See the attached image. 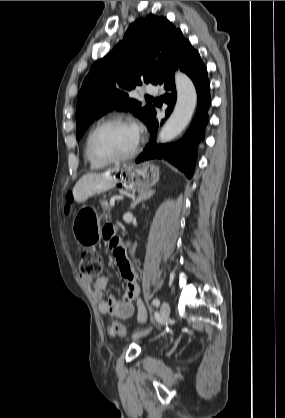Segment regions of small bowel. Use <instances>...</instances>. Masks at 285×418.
I'll return each instance as SVG.
<instances>
[{
	"mask_svg": "<svg viewBox=\"0 0 285 418\" xmlns=\"http://www.w3.org/2000/svg\"><path fill=\"white\" fill-rule=\"evenodd\" d=\"M104 241L112 253H114V251L119 246L127 247L131 245V243L128 241H122L117 235L116 230L113 228L106 230ZM116 260L119 273L126 282L125 299L122 301H117L112 296L105 298L104 290L110 279L108 276H102L92 283V295L93 298L98 302V310L103 315H116L121 319H129L132 318L135 314V308L130 299H135L137 303L138 319L141 322H145L148 315L143 302L139 298L140 290L137 282V268L139 266V261L136 258L128 259L126 257L122 260ZM82 281L85 283L90 282L88 279H83ZM115 335L120 334L112 332V336Z\"/></svg>",
	"mask_w": 285,
	"mask_h": 418,
	"instance_id": "obj_1",
	"label": "small bowel"
}]
</instances>
